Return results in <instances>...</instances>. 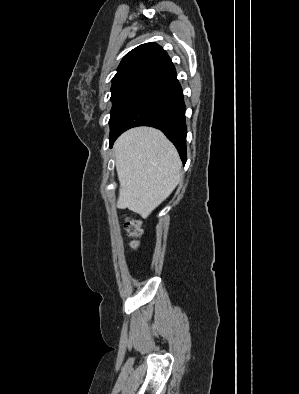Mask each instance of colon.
I'll list each match as a JSON object with an SVG mask.
<instances>
[{
  "label": "colon",
  "instance_id": "5ec220e1",
  "mask_svg": "<svg viewBox=\"0 0 299 394\" xmlns=\"http://www.w3.org/2000/svg\"><path fill=\"white\" fill-rule=\"evenodd\" d=\"M126 229L127 232L129 234V236L131 237V242H130V246L133 249H136L139 247V238L142 235V229H141V224L137 219L134 218H128L126 221Z\"/></svg>",
  "mask_w": 299,
  "mask_h": 394
}]
</instances>
